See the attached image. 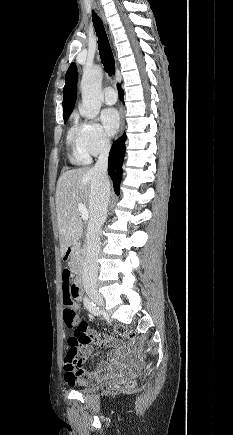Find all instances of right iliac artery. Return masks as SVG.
<instances>
[{
	"label": "right iliac artery",
	"instance_id": "82829eb1",
	"mask_svg": "<svg viewBox=\"0 0 233 435\" xmlns=\"http://www.w3.org/2000/svg\"><path fill=\"white\" fill-rule=\"evenodd\" d=\"M84 305L94 315H100V309L88 298H84Z\"/></svg>",
	"mask_w": 233,
	"mask_h": 435
}]
</instances>
